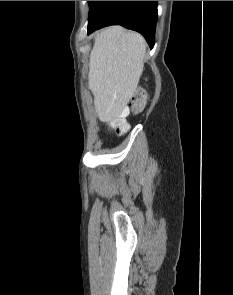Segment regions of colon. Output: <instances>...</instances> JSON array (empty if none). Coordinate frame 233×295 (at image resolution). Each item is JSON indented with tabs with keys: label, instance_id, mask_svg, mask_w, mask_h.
Here are the masks:
<instances>
[{
	"label": "colon",
	"instance_id": "5ec220e1",
	"mask_svg": "<svg viewBox=\"0 0 233 295\" xmlns=\"http://www.w3.org/2000/svg\"><path fill=\"white\" fill-rule=\"evenodd\" d=\"M146 103V94L143 90H138L132 97L131 103L129 108L133 112H139L143 109ZM129 108H125L122 110L120 114V118L113 122L112 127L118 134H122L126 131V124L123 121L122 117H124L127 113Z\"/></svg>",
	"mask_w": 233,
	"mask_h": 295
}]
</instances>
